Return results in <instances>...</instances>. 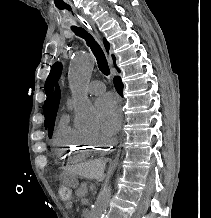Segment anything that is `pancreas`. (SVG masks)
Listing matches in <instances>:
<instances>
[{
    "instance_id": "pancreas-1",
    "label": "pancreas",
    "mask_w": 211,
    "mask_h": 218,
    "mask_svg": "<svg viewBox=\"0 0 211 218\" xmlns=\"http://www.w3.org/2000/svg\"><path fill=\"white\" fill-rule=\"evenodd\" d=\"M80 190H76L75 194L76 195H87V186H80Z\"/></svg>"
}]
</instances>
